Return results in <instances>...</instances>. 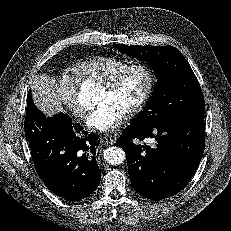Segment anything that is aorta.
<instances>
[{
    "label": "aorta",
    "mask_w": 231,
    "mask_h": 231,
    "mask_svg": "<svg viewBox=\"0 0 231 231\" xmlns=\"http://www.w3.org/2000/svg\"><path fill=\"white\" fill-rule=\"evenodd\" d=\"M80 102L84 107L92 105L93 99L91 93L88 90L82 89L80 93ZM104 159L112 165H119L125 161L126 155L122 148L112 146L104 151Z\"/></svg>",
    "instance_id": "aorta-1"
}]
</instances>
